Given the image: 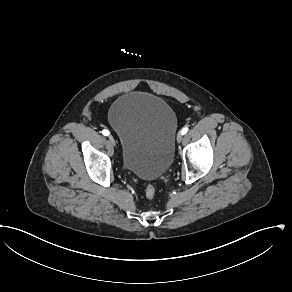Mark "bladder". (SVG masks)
Listing matches in <instances>:
<instances>
[{"label":"bladder","mask_w":292,"mask_h":292,"mask_svg":"<svg viewBox=\"0 0 292 292\" xmlns=\"http://www.w3.org/2000/svg\"><path fill=\"white\" fill-rule=\"evenodd\" d=\"M109 124L121 143L123 168L142 179H155L170 167L177 117L162 98L146 92L120 95L109 111Z\"/></svg>","instance_id":"31cf9c89"}]
</instances>
